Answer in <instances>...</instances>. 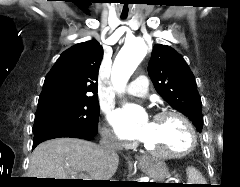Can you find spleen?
I'll list each match as a JSON object with an SVG mask.
<instances>
[{
  "label": "spleen",
  "mask_w": 240,
  "mask_h": 187,
  "mask_svg": "<svg viewBox=\"0 0 240 187\" xmlns=\"http://www.w3.org/2000/svg\"><path fill=\"white\" fill-rule=\"evenodd\" d=\"M187 172V176H188V182H190V184H205L206 181L205 179L202 177L201 173L196 170L194 167H188L186 169Z\"/></svg>",
  "instance_id": "3e777b00"
}]
</instances>
